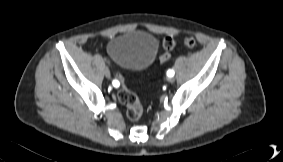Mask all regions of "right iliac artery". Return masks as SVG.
I'll return each mask as SVG.
<instances>
[{
  "instance_id": "right-iliac-artery-1",
  "label": "right iliac artery",
  "mask_w": 283,
  "mask_h": 162,
  "mask_svg": "<svg viewBox=\"0 0 283 162\" xmlns=\"http://www.w3.org/2000/svg\"><path fill=\"white\" fill-rule=\"evenodd\" d=\"M113 85L114 86H118L119 85V87L121 88L123 85L121 84V83H119L118 81H113Z\"/></svg>"
}]
</instances>
